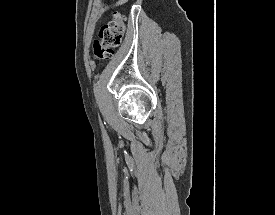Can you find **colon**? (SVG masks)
Segmentation results:
<instances>
[{"instance_id": "1", "label": "colon", "mask_w": 275, "mask_h": 215, "mask_svg": "<svg viewBox=\"0 0 275 215\" xmlns=\"http://www.w3.org/2000/svg\"><path fill=\"white\" fill-rule=\"evenodd\" d=\"M123 34V18L117 14L100 28L99 37L93 43L95 58L110 60L113 57L115 48L121 44Z\"/></svg>"}]
</instances>
